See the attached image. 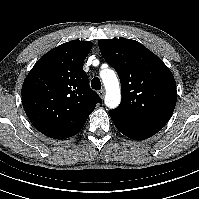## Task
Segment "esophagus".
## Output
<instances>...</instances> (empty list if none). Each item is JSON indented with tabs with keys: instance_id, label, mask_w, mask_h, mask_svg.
<instances>
[{
	"instance_id": "obj_1",
	"label": "esophagus",
	"mask_w": 199,
	"mask_h": 199,
	"mask_svg": "<svg viewBox=\"0 0 199 199\" xmlns=\"http://www.w3.org/2000/svg\"><path fill=\"white\" fill-rule=\"evenodd\" d=\"M98 95L101 97V98H104L105 96V90L104 89H101L98 91Z\"/></svg>"
}]
</instances>
